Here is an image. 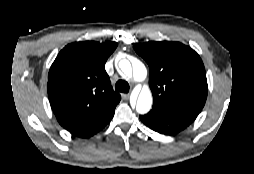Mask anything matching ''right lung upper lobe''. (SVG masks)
I'll use <instances>...</instances> for the list:
<instances>
[{
  "mask_svg": "<svg viewBox=\"0 0 254 174\" xmlns=\"http://www.w3.org/2000/svg\"><path fill=\"white\" fill-rule=\"evenodd\" d=\"M116 42L84 41L65 46L48 76V96L62 127L70 130L116 107L121 96L114 92L105 71Z\"/></svg>",
  "mask_w": 254,
  "mask_h": 174,
  "instance_id": "right-lung-upper-lobe-1",
  "label": "right lung upper lobe"
}]
</instances>
